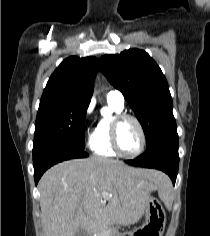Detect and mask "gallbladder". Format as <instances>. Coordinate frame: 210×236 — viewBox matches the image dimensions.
Returning a JSON list of instances; mask_svg holds the SVG:
<instances>
[{"instance_id": "obj_1", "label": "gallbladder", "mask_w": 210, "mask_h": 236, "mask_svg": "<svg viewBox=\"0 0 210 236\" xmlns=\"http://www.w3.org/2000/svg\"><path fill=\"white\" fill-rule=\"evenodd\" d=\"M76 236H88L87 232L84 229H78Z\"/></svg>"}]
</instances>
